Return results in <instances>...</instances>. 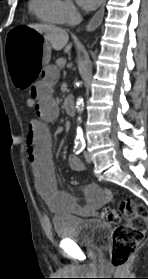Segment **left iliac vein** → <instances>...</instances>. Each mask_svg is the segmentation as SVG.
I'll return each mask as SVG.
<instances>
[{
  "label": "left iliac vein",
  "instance_id": "1",
  "mask_svg": "<svg viewBox=\"0 0 148 279\" xmlns=\"http://www.w3.org/2000/svg\"><path fill=\"white\" fill-rule=\"evenodd\" d=\"M84 157H85V160L88 162V163H91L92 162V158H91V155L88 153V152H84Z\"/></svg>",
  "mask_w": 148,
  "mask_h": 279
}]
</instances>
